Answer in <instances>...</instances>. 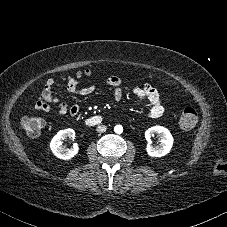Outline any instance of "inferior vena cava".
I'll list each match as a JSON object with an SVG mask.
<instances>
[{"mask_svg":"<svg viewBox=\"0 0 227 227\" xmlns=\"http://www.w3.org/2000/svg\"><path fill=\"white\" fill-rule=\"evenodd\" d=\"M107 130V127L105 126V125H99L98 127H97V132H99V133H103V132H105Z\"/></svg>","mask_w":227,"mask_h":227,"instance_id":"obj_1","label":"inferior vena cava"}]
</instances>
